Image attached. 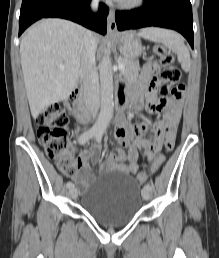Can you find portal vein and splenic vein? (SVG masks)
Returning a JSON list of instances; mask_svg holds the SVG:
<instances>
[{"instance_id": "18ae733b", "label": "portal vein and splenic vein", "mask_w": 219, "mask_h": 258, "mask_svg": "<svg viewBox=\"0 0 219 258\" xmlns=\"http://www.w3.org/2000/svg\"><path fill=\"white\" fill-rule=\"evenodd\" d=\"M60 69H65V67L63 65H59ZM119 70H123L124 69V65L122 63L119 64L118 66Z\"/></svg>"}]
</instances>
